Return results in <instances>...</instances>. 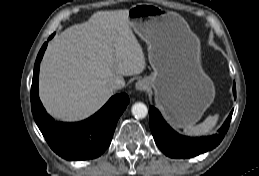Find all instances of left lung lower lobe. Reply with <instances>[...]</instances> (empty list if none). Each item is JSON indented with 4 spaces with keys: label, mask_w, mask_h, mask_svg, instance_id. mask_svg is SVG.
Listing matches in <instances>:
<instances>
[{
    "label": "left lung lower lobe",
    "mask_w": 259,
    "mask_h": 176,
    "mask_svg": "<svg viewBox=\"0 0 259 176\" xmlns=\"http://www.w3.org/2000/svg\"><path fill=\"white\" fill-rule=\"evenodd\" d=\"M236 97V86L233 85ZM233 111L226 119L218 134L206 137H186L176 133L162 118L160 112L150 106V129L160 150L172 158H190L215 148L227 132Z\"/></svg>",
    "instance_id": "obj_1"
}]
</instances>
